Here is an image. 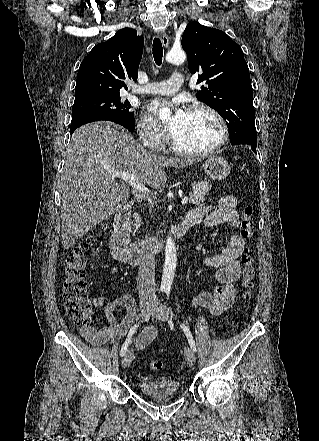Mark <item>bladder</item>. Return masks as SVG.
Here are the masks:
<instances>
[{"label": "bladder", "mask_w": 319, "mask_h": 441, "mask_svg": "<svg viewBox=\"0 0 319 441\" xmlns=\"http://www.w3.org/2000/svg\"><path fill=\"white\" fill-rule=\"evenodd\" d=\"M137 388L142 396L163 398L176 396L178 394L179 384L170 378L148 376L138 380Z\"/></svg>", "instance_id": "31cf9c89"}]
</instances>
